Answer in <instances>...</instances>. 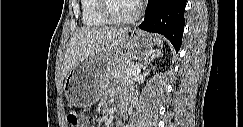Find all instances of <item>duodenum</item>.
<instances>
[{"label": "duodenum", "instance_id": "duodenum-1", "mask_svg": "<svg viewBox=\"0 0 243 127\" xmlns=\"http://www.w3.org/2000/svg\"><path fill=\"white\" fill-rule=\"evenodd\" d=\"M129 101H130V96L129 95H124L122 97V101H121V107L120 109L123 111L126 109V107L128 106L129 104Z\"/></svg>", "mask_w": 243, "mask_h": 127}]
</instances>
